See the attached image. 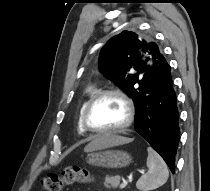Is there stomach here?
I'll return each mask as SVG.
<instances>
[{
  "instance_id": "0dacf381",
  "label": "stomach",
  "mask_w": 210,
  "mask_h": 191,
  "mask_svg": "<svg viewBox=\"0 0 210 191\" xmlns=\"http://www.w3.org/2000/svg\"><path fill=\"white\" fill-rule=\"evenodd\" d=\"M88 164L104 168H123L132 162L131 156L121 150H96L87 155Z\"/></svg>"
}]
</instances>
